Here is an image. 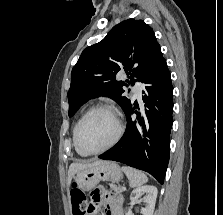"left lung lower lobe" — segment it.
I'll return each instance as SVG.
<instances>
[{
    "label": "left lung lower lobe",
    "mask_w": 223,
    "mask_h": 215,
    "mask_svg": "<svg viewBox=\"0 0 223 215\" xmlns=\"http://www.w3.org/2000/svg\"><path fill=\"white\" fill-rule=\"evenodd\" d=\"M146 84L143 102L137 101L126 110L127 127L123 137L110 150L99 155L104 160L118 161L150 173L163 184L170 154L173 86L166 60L163 59L142 81ZM137 114L135 120L131 115Z\"/></svg>",
    "instance_id": "obj_1"
}]
</instances>
